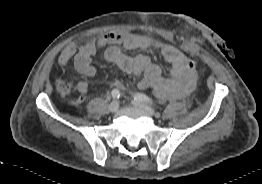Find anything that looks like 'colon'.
<instances>
[{
    "mask_svg": "<svg viewBox=\"0 0 262 184\" xmlns=\"http://www.w3.org/2000/svg\"><path fill=\"white\" fill-rule=\"evenodd\" d=\"M184 66L187 73V81L185 84V88L189 90L194 85V81L197 78V70H198V62L196 59L193 58L192 51L188 52L185 55ZM56 86L58 91H60L63 95L70 94L73 89L72 85L64 80L58 81Z\"/></svg>",
    "mask_w": 262,
    "mask_h": 184,
    "instance_id": "5ec220e1",
    "label": "colon"
}]
</instances>
